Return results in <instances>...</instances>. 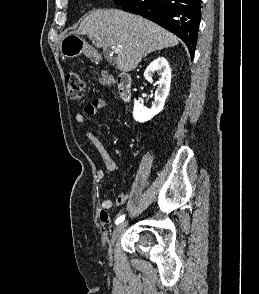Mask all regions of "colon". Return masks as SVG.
Instances as JSON below:
<instances>
[{
  "mask_svg": "<svg viewBox=\"0 0 259 294\" xmlns=\"http://www.w3.org/2000/svg\"><path fill=\"white\" fill-rule=\"evenodd\" d=\"M100 81L109 85L113 82L111 75L107 72H101L99 74ZM66 86L68 96L73 100H80L83 98L85 93V83L81 74L76 70H71L66 76Z\"/></svg>",
  "mask_w": 259,
  "mask_h": 294,
  "instance_id": "1",
  "label": "colon"
}]
</instances>
